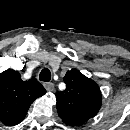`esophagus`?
I'll return each mask as SVG.
<instances>
[{"mask_svg":"<svg viewBox=\"0 0 130 130\" xmlns=\"http://www.w3.org/2000/svg\"><path fill=\"white\" fill-rule=\"evenodd\" d=\"M44 87L48 92L53 91L54 89V84L53 83H44Z\"/></svg>","mask_w":130,"mask_h":130,"instance_id":"1","label":"esophagus"}]
</instances>
